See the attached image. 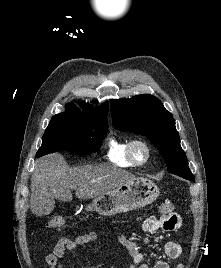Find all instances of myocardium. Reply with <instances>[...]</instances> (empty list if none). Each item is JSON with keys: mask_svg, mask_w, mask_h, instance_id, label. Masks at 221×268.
Masks as SVG:
<instances>
[{"mask_svg": "<svg viewBox=\"0 0 221 268\" xmlns=\"http://www.w3.org/2000/svg\"><path fill=\"white\" fill-rule=\"evenodd\" d=\"M136 147H142L145 156L142 160H138L135 156V148ZM152 150L150 144L141 138L130 140L127 146V155L129 160L135 165V166H142L145 165L151 158Z\"/></svg>", "mask_w": 221, "mask_h": 268, "instance_id": "1", "label": "myocardium"}]
</instances>
